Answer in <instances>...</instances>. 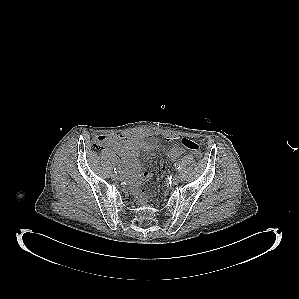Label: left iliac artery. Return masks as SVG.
Here are the masks:
<instances>
[{"label": "left iliac artery", "mask_w": 299, "mask_h": 299, "mask_svg": "<svg viewBox=\"0 0 299 299\" xmlns=\"http://www.w3.org/2000/svg\"><path fill=\"white\" fill-rule=\"evenodd\" d=\"M175 169L179 170L180 169V164L179 163H175Z\"/></svg>", "instance_id": "left-iliac-artery-1"}]
</instances>
